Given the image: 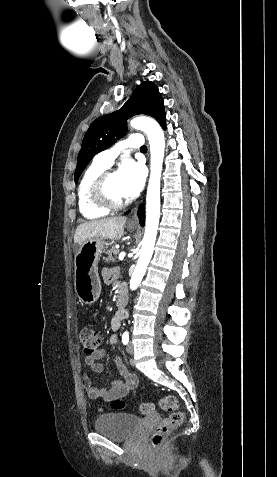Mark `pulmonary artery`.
I'll return each mask as SVG.
<instances>
[{
    "label": "pulmonary artery",
    "mask_w": 277,
    "mask_h": 477,
    "mask_svg": "<svg viewBox=\"0 0 277 477\" xmlns=\"http://www.w3.org/2000/svg\"><path fill=\"white\" fill-rule=\"evenodd\" d=\"M142 144H143L142 136L140 134H133L130 137H128L126 140L121 142L120 145L99 153L95 161H97L98 163L106 167H109L112 165L114 159L117 157V155L123 148H128V147L140 148Z\"/></svg>",
    "instance_id": "pulmonary-artery-1"
}]
</instances>
